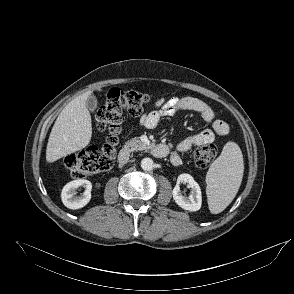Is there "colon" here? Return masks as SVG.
Masks as SVG:
<instances>
[{"label":"colon","mask_w":294,"mask_h":294,"mask_svg":"<svg viewBox=\"0 0 294 294\" xmlns=\"http://www.w3.org/2000/svg\"><path fill=\"white\" fill-rule=\"evenodd\" d=\"M149 100L148 95L137 91L111 89L95 115L99 130L107 133L106 143L100 147L91 146L80 153L68 155L65 158V166L71 176L82 179L110 170L113 166L114 146L121 130L123 114L140 115ZM216 155V146L210 142L197 145L193 152L194 161L201 168L208 167Z\"/></svg>","instance_id":"colon-1"}]
</instances>
